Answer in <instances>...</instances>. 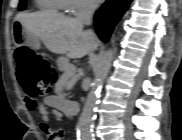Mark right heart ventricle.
Returning a JSON list of instances; mask_svg holds the SVG:
<instances>
[{"mask_svg": "<svg viewBox=\"0 0 182 140\" xmlns=\"http://www.w3.org/2000/svg\"><path fill=\"white\" fill-rule=\"evenodd\" d=\"M65 0H39L38 5L41 9L57 12L64 9Z\"/></svg>", "mask_w": 182, "mask_h": 140, "instance_id": "right-heart-ventricle-1", "label": "right heart ventricle"}]
</instances>
